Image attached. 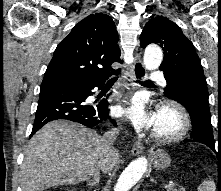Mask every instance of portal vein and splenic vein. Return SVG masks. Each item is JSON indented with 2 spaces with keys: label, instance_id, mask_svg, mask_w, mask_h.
<instances>
[{
  "label": "portal vein and splenic vein",
  "instance_id": "portal-vein-and-splenic-vein-1",
  "mask_svg": "<svg viewBox=\"0 0 221 191\" xmlns=\"http://www.w3.org/2000/svg\"><path fill=\"white\" fill-rule=\"evenodd\" d=\"M175 184L173 182H169V184L165 185L166 188H172Z\"/></svg>",
  "mask_w": 221,
  "mask_h": 191
}]
</instances>
